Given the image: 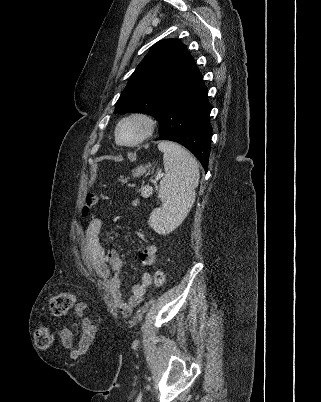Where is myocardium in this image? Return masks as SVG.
I'll list each match as a JSON object with an SVG mask.
<instances>
[{"label":"myocardium","instance_id":"myocardium-1","mask_svg":"<svg viewBox=\"0 0 321 402\" xmlns=\"http://www.w3.org/2000/svg\"><path fill=\"white\" fill-rule=\"evenodd\" d=\"M129 122H138L142 125V132L141 134L131 142H123L120 139V128ZM156 128V121L155 119L146 113L135 112L130 113L123 118H121L116 127H115V140L118 145L122 147H136L146 141L149 137L152 136Z\"/></svg>","mask_w":321,"mask_h":402}]
</instances>
